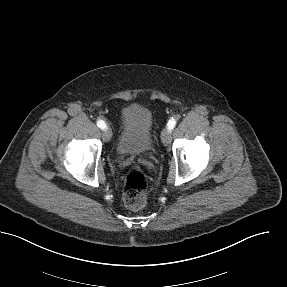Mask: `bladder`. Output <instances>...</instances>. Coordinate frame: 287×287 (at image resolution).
I'll return each instance as SVG.
<instances>
[{
	"label": "bladder",
	"mask_w": 287,
	"mask_h": 287,
	"mask_svg": "<svg viewBox=\"0 0 287 287\" xmlns=\"http://www.w3.org/2000/svg\"><path fill=\"white\" fill-rule=\"evenodd\" d=\"M120 133L116 151L120 155H143L154 145L153 117L141 105H129L121 110Z\"/></svg>",
	"instance_id": "1"
}]
</instances>
